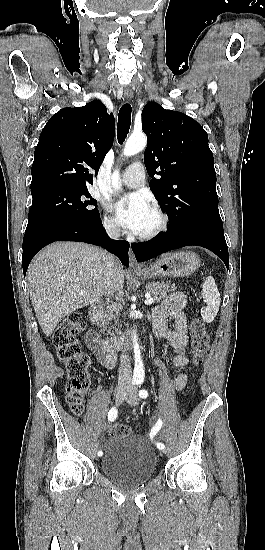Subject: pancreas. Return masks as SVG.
Listing matches in <instances>:
<instances>
[{
  "instance_id": "cf45deb5",
  "label": "pancreas",
  "mask_w": 265,
  "mask_h": 550,
  "mask_svg": "<svg viewBox=\"0 0 265 550\" xmlns=\"http://www.w3.org/2000/svg\"><path fill=\"white\" fill-rule=\"evenodd\" d=\"M176 286L170 285L169 283L164 282H151L146 285V290L153 295L155 302H160L164 299L170 292L175 291ZM122 306L113 304L104 307L101 311L100 319L104 326H107L111 321L115 320L118 322L119 314Z\"/></svg>"
}]
</instances>
